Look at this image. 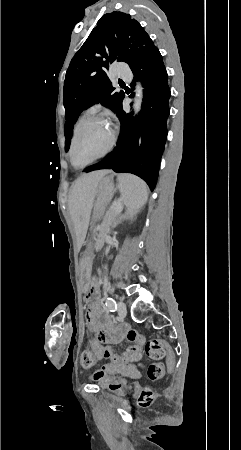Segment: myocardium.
I'll use <instances>...</instances> for the list:
<instances>
[{"mask_svg":"<svg viewBox=\"0 0 241 450\" xmlns=\"http://www.w3.org/2000/svg\"><path fill=\"white\" fill-rule=\"evenodd\" d=\"M75 126L79 127L80 123L76 122ZM81 134H82L81 130H73L71 132V137H73V139H72L71 144L69 146L70 147V157H67V162H73L74 161V157H76V155H77L76 152H75V149L78 150V149L82 148V145L80 144L81 141H82V138L76 136V135H81ZM109 134L111 135V137H109L108 140L104 141V144L107 145V148L103 149V152L101 153V157H108V153H110V151H112L110 149H114L115 148V145L113 144V142L115 140L114 137H116V132H115V130L112 129V130L109 131ZM86 161L87 162H92V163L96 162V160H86Z\"/></svg>","mask_w":241,"mask_h":450,"instance_id":"f54148a6","label":"myocardium"}]
</instances>
